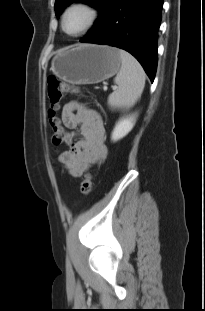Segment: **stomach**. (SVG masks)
Segmentation results:
<instances>
[{"label":"stomach","instance_id":"stomach-1","mask_svg":"<svg viewBox=\"0 0 205 311\" xmlns=\"http://www.w3.org/2000/svg\"><path fill=\"white\" fill-rule=\"evenodd\" d=\"M119 49L107 45L82 44L58 52L50 70L59 79L75 85L96 84L120 70Z\"/></svg>","mask_w":205,"mask_h":311}]
</instances>
